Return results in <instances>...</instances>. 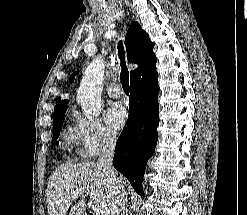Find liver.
<instances>
[{"label":"liver","mask_w":247,"mask_h":215,"mask_svg":"<svg viewBox=\"0 0 247 215\" xmlns=\"http://www.w3.org/2000/svg\"><path fill=\"white\" fill-rule=\"evenodd\" d=\"M124 188V178L118 177ZM80 190H89L95 204H107L112 213L113 187L105 170L93 162L61 164L51 174L45 192L48 215H82L86 211L84 193L69 199ZM125 190V189H124Z\"/></svg>","instance_id":"obj_1"}]
</instances>
